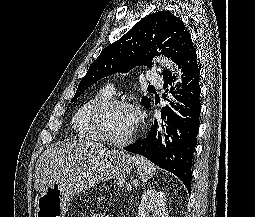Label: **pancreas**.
<instances>
[{"instance_id":"pancreas-1","label":"pancreas","mask_w":255,"mask_h":217,"mask_svg":"<svg viewBox=\"0 0 255 217\" xmlns=\"http://www.w3.org/2000/svg\"><path fill=\"white\" fill-rule=\"evenodd\" d=\"M125 183H126L125 180H118L116 182V185H118L119 187H124Z\"/></svg>"}]
</instances>
